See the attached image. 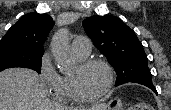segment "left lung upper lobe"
Masks as SVG:
<instances>
[{"mask_svg": "<svg viewBox=\"0 0 171 110\" xmlns=\"http://www.w3.org/2000/svg\"><path fill=\"white\" fill-rule=\"evenodd\" d=\"M86 34L108 58L117 73L116 85L134 82L152 84L147 56L135 32L117 17L92 16L83 21Z\"/></svg>", "mask_w": 171, "mask_h": 110, "instance_id": "5c2ea615", "label": "left lung upper lobe"}]
</instances>
